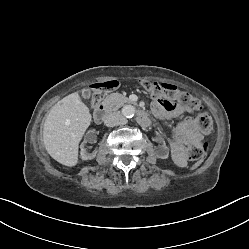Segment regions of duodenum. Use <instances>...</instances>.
<instances>
[{
	"label": "duodenum",
	"instance_id": "410a0bca",
	"mask_svg": "<svg viewBox=\"0 0 249 249\" xmlns=\"http://www.w3.org/2000/svg\"><path fill=\"white\" fill-rule=\"evenodd\" d=\"M106 111V104H99L93 112L94 120L98 123H101L105 117ZM137 122L142 126H148L150 123L148 116L142 111H140L137 115Z\"/></svg>",
	"mask_w": 249,
	"mask_h": 249
}]
</instances>
